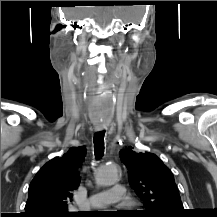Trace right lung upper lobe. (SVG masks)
<instances>
[{"mask_svg": "<svg viewBox=\"0 0 217 217\" xmlns=\"http://www.w3.org/2000/svg\"><path fill=\"white\" fill-rule=\"evenodd\" d=\"M86 149H70L62 157L47 162L36 174L28 190V200L23 217H58L72 215L68 205L72 191L80 184L78 166ZM76 215V214H75Z\"/></svg>", "mask_w": 217, "mask_h": 217, "instance_id": "cb5924a9", "label": "right lung upper lobe"}]
</instances>
